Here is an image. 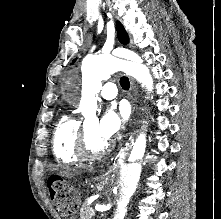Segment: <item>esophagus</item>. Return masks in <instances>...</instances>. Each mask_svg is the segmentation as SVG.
I'll use <instances>...</instances> for the list:
<instances>
[{"label": "esophagus", "instance_id": "34e87169", "mask_svg": "<svg viewBox=\"0 0 221 219\" xmlns=\"http://www.w3.org/2000/svg\"><path fill=\"white\" fill-rule=\"evenodd\" d=\"M130 89H131V103H132V108L134 109L137 100V90L132 78L130 79Z\"/></svg>", "mask_w": 221, "mask_h": 219}]
</instances>
